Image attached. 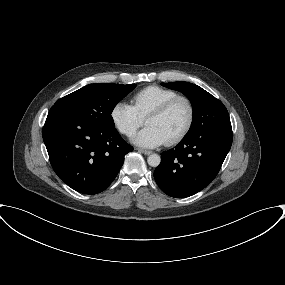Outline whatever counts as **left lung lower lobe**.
I'll list each match as a JSON object with an SVG mask.
<instances>
[{
  "mask_svg": "<svg viewBox=\"0 0 285 285\" xmlns=\"http://www.w3.org/2000/svg\"><path fill=\"white\" fill-rule=\"evenodd\" d=\"M232 145V130L214 129L185 135L161 154L154 178L169 196L184 198L208 186L218 174Z\"/></svg>",
  "mask_w": 285,
  "mask_h": 285,
  "instance_id": "1",
  "label": "left lung lower lobe"
}]
</instances>
